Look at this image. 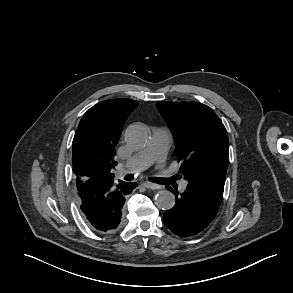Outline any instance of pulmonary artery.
<instances>
[{"label":"pulmonary artery","instance_id":"e3ab8cb5","mask_svg":"<svg viewBox=\"0 0 293 293\" xmlns=\"http://www.w3.org/2000/svg\"><path fill=\"white\" fill-rule=\"evenodd\" d=\"M171 141L172 135L168 129H155L148 145L122 164L119 168V174L137 173L148 168L155 162L159 164L164 163ZM186 185L187 182L183 181L180 189L184 190Z\"/></svg>","mask_w":293,"mask_h":293}]
</instances>
